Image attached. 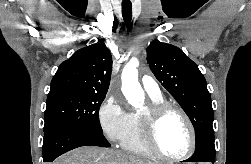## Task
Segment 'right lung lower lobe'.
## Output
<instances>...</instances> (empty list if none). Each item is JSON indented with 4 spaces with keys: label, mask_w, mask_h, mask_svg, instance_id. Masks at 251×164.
<instances>
[{
    "label": "right lung lower lobe",
    "mask_w": 251,
    "mask_h": 164,
    "mask_svg": "<svg viewBox=\"0 0 251 164\" xmlns=\"http://www.w3.org/2000/svg\"><path fill=\"white\" fill-rule=\"evenodd\" d=\"M110 147L102 132L66 125H54L44 130L43 161L52 162L58 156L81 146Z\"/></svg>",
    "instance_id": "1"
}]
</instances>
